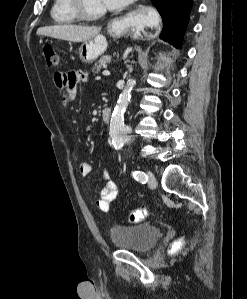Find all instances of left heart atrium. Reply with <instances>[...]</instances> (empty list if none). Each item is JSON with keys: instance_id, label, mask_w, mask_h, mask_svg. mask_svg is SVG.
<instances>
[{"instance_id": "obj_1", "label": "left heart atrium", "mask_w": 247, "mask_h": 299, "mask_svg": "<svg viewBox=\"0 0 247 299\" xmlns=\"http://www.w3.org/2000/svg\"><path fill=\"white\" fill-rule=\"evenodd\" d=\"M130 1L131 0H102L105 8L107 9H118L120 7H123Z\"/></svg>"}]
</instances>
